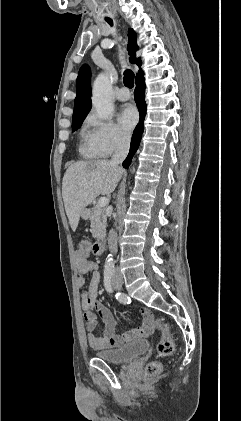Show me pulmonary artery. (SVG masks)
<instances>
[{
    "label": "pulmonary artery",
    "instance_id": "1",
    "mask_svg": "<svg viewBox=\"0 0 241 421\" xmlns=\"http://www.w3.org/2000/svg\"><path fill=\"white\" fill-rule=\"evenodd\" d=\"M116 98L119 101H126V100L130 99V92L128 91L127 88L123 87V88L119 89L118 92L116 93Z\"/></svg>",
    "mask_w": 241,
    "mask_h": 421
}]
</instances>
